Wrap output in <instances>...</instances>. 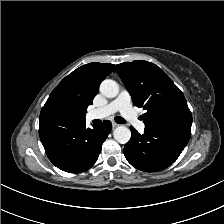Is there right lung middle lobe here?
I'll return each mask as SVG.
<instances>
[{"label":"right lung middle lobe","mask_w":224,"mask_h":224,"mask_svg":"<svg viewBox=\"0 0 224 224\" xmlns=\"http://www.w3.org/2000/svg\"><path fill=\"white\" fill-rule=\"evenodd\" d=\"M85 112L69 97L62 94H50L40 115H51L73 121L85 120Z\"/></svg>","instance_id":"obj_1"}]
</instances>
